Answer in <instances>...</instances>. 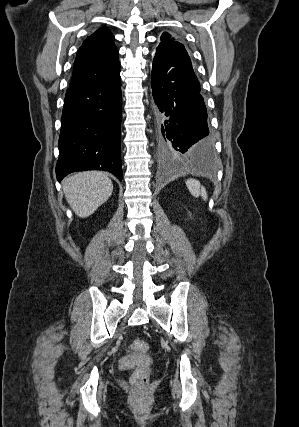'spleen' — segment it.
I'll use <instances>...</instances> for the list:
<instances>
[{
	"label": "spleen",
	"mask_w": 299,
	"mask_h": 427,
	"mask_svg": "<svg viewBox=\"0 0 299 427\" xmlns=\"http://www.w3.org/2000/svg\"><path fill=\"white\" fill-rule=\"evenodd\" d=\"M186 186H187L189 192L194 197L201 196L204 200H207L206 189L203 186H201V184L198 180L190 178L186 181Z\"/></svg>",
	"instance_id": "3e777b00"
}]
</instances>
